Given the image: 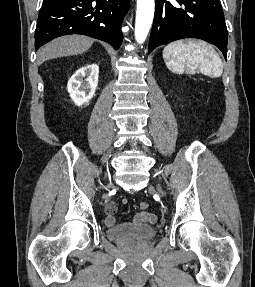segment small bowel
I'll use <instances>...</instances> for the list:
<instances>
[{"mask_svg":"<svg viewBox=\"0 0 255 287\" xmlns=\"http://www.w3.org/2000/svg\"><path fill=\"white\" fill-rule=\"evenodd\" d=\"M122 203L123 204H127L128 203V199L123 198L122 199ZM106 219H105V223L108 226H113L116 224L117 222V218H116V213H117V205L113 202L108 203L106 206ZM158 218L156 216V214L152 213V212H139L137 214L134 215L133 219H132V223H150V224H155L157 222Z\"/></svg>","mask_w":255,"mask_h":287,"instance_id":"1","label":"small bowel"}]
</instances>
